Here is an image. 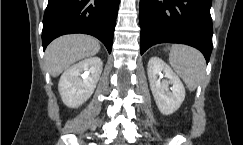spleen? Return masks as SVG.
<instances>
[{
    "label": "spleen",
    "instance_id": "obj_1",
    "mask_svg": "<svg viewBox=\"0 0 243 145\" xmlns=\"http://www.w3.org/2000/svg\"><path fill=\"white\" fill-rule=\"evenodd\" d=\"M169 62L190 91H194L205 76V59L200 51L187 45H174Z\"/></svg>",
    "mask_w": 243,
    "mask_h": 145
}]
</instances>
